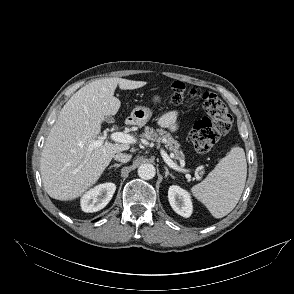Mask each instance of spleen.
Segmentation results:
<instances>
[{
  "label": "spleen",
  "mask_w": 294,
  "mask_h": 294,
  "mask_svg": "<svg viewBox=\"0 0 294 294\" xmlns=\"http://www.w3.org/2000/svg\"><path fill=\"white\" fill-rule=\"evenodd\" d=\"M247 163L243 148L234 146L201 183L191 189L215 218H222L237 205L244 190Z\"/></svg>",
  "instance_id": "3e777b00"
}]
</instances>
